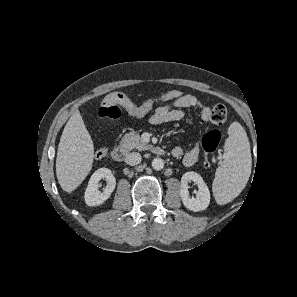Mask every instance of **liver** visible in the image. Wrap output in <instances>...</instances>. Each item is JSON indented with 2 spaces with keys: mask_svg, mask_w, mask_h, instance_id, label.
Here are the masks:
<instances>
[{
  "mask_svg": "<svg viewBox=\"0 0 297 297\" xmlns=\"http://www.w3.org/2000/svg\"><path fill=\"white\" fill-rule=\"evenodd\" d=\"M94 146L79 110L67 121L57 150L56 176L61 188L74 191L93 164Z\"/></svg>",
  "mask_w": 297,
  "mask_h": 297,
  "instance_id": "6515ba94",
  "label": "liver"
}]
</instances>
